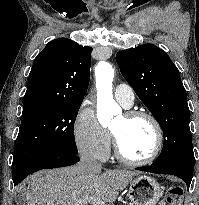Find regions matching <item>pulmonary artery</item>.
Wrapping results in <instances>:
<instances>
[{
  "mask_svg": "<svg viewBox=\"0 0 199 205\" xmlns=\"http://www.w3.org/2000/svg\"><path fill=\"white\" fill-rule=\"evenodd\" d=\"M115 98L123 107L129 108L134 103L135 94L128 84H119L115 89Z\"/></svg>",
  "mask_w": 199,
  "mask_h": 205,
  "instance_id": "obj_1",
  "label": "pulmonary artery"
}]
</instances>
